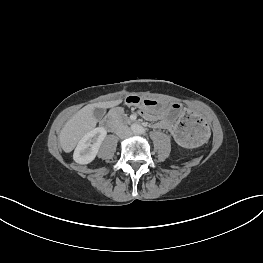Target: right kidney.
<instances>
[{
	"instance_id": "1",
	"label": "right kidney",
	"mask_w": 263,
	"mask_h": 263,
	"mask_svg": "<svg viewBox=\"0 0 263 263\" xmlns=\"http://www.w3.org/2000/svg\"><path fill=\"white\" fill-rule=\"evenodd\" d=\"M107 135L103 127H97L89 131L77 144L73 159L79 164H88L92 162L99 148Z\"/></svg>"
}]
</instances>
